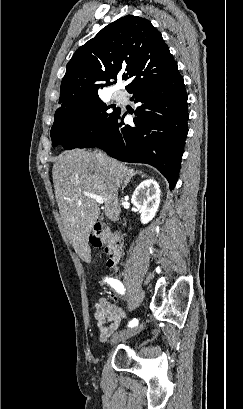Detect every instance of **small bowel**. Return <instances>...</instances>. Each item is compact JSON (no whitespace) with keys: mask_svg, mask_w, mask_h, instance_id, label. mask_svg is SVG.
<instances>
[{"mask_svg":"<svg viewBox=\"0 0 243 409\" xmlns=\"http://www.w3.org/2000/svg\"><path fill=\"white\" fill-rule=\"evenodd\" d=\"M94 317L97 320L100 340L105 342L118 329L126 314L107 298H101L94 306Z\"/></svg>","mask_w":243,"mask_h":409,"instance_id":"1","label":"small bowel"}]
</instances>
